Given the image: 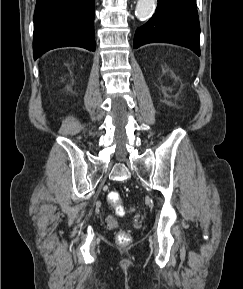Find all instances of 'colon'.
<instances>
[{
	"label": "colon",
	"instance_id": "colon-1",
	"mask_svg": "<svg viewBox=\"0 0 243 289\" xmlns=\"http://www.w3.org/2000/svg\"><path fill=\"white\" fill-rule=\"evenodd\" d=\"M108 203L116 210L117 214L123 215L124 208L122 205V199L118 192L112 191L107 196ZM131 240V237L128 232L121 230L117 234V241L120 244H128Z\"/></svg>",
	"mask_w": 243,
	"mask_h": 289
}]
</instances>
